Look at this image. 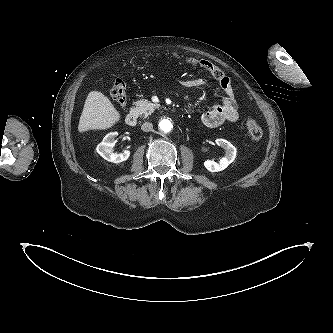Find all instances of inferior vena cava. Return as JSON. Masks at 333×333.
<instances>
[{
    "label": "inferior vena cava",
    "mask_w": 333,
    "mask_h": 333,
    "mask_svg": "<svg viewBox=\"0 0 333 333\" xmlns=\"http://www.w3.org/2000/svg\"><path fill=\"white\" fill-rule=\"evenodd\" d=\"M141 129L144 132H149V131H151L153 129V124L150 123V122H145V123L142 124Z\"/></svg>",
    "instance_id": "602c4592"
}]
</instances>
